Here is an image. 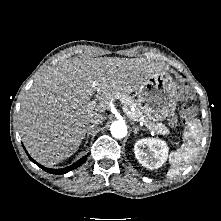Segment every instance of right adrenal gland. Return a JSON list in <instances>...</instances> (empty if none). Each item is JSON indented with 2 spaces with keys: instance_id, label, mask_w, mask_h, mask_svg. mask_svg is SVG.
<instances>
[{
  "instance_id": "right-adrenal-gland-1",
  "label": "right adrenal gland",
  "mask_w": 221,
  "mask_h": 221,
  "mask_svg": "<svg viewBox=\"0 0 221 221\" xmlns=\"http://www.w3.org/2000/svg\"><path fill=\"white\" fill-rule=\"evenodd\" d=\"M91 127H93V126L88 127V131L86 132V133H87V137H86L85 145L88 143V139H89V129H90Z\"/></svg>"
}]
</instances>
